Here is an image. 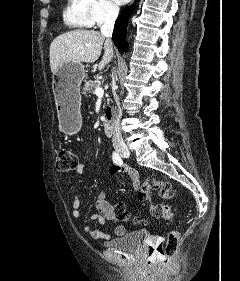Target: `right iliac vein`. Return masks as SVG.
<instances>
[{"label":"right iliac vein","instance_id":"63e3f726","mask_svg":"<svg viewBox=\"0 0 240 281\" xmlns=\"http://www.w3.org/2000/svg\"><path fill=\"white\" fill-rule=\"evenodd\" d=\"M117 152L121 155V156H129L130 155V150L125 147V146H119L116 148Z\"/></svg>","mask_w":240,"mask_h":281}]
</instances>
